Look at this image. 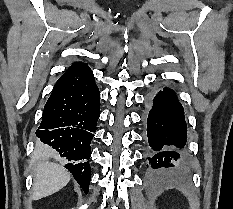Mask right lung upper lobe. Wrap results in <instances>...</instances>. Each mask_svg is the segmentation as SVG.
<instances>
[{
	"mask_svg": "<svg viewBox=\"0 0 233 209\" xmlns=\"http://www.w3.org/2000/svg\"><path fill=\"white\" fill-rule=\"evenodd\" d=\"M83 65H86V64L85 63L77 62V63L71 65V67L68 69V71L66 73H68L69 71H71V70H73V69H75L77 67L83 66ZM66 73H64L63 75H65Z\"/></svg>",
	"mask_w": 233,
	"mask_h": 209,
	"instance_id": "1",
	"label": "right lung upper lobe"
}]
</instances>
